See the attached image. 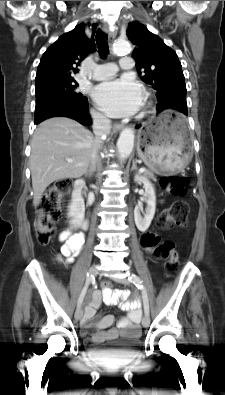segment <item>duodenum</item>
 Returning a JSON list of instances; mask_svg holds the SVG:
<instances>
[{
  "label": "duodenum",
  "instance_id": "duodenum-1",
  "mask_svg": "<svg viewBox=\"0 0 225 395\" xmlns=\"http://www.w3.org/2000/svg\"><path fill=\"white\" fill-rule=\"evenodd\" d=\"M84 187L83 180L79 179L75 182V189H74V197L75 199H79L81 197L82 189ZM84 229L88 227V221L84 220L82 223Z\"/></svg>",
  "mask_w": 225,
  "mask_h": 395
}]
</instances>
